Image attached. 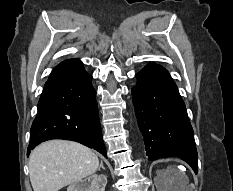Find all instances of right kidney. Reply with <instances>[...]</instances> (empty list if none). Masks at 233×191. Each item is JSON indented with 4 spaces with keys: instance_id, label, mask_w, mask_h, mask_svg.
<instances>
[{
    "instance_id": "right-kidney-1",
    "label": "right kidney",
    "mask_w": 233,
    "mask_h": 191,
    "mask_svg": "<svg viewBox=\"0 0 233 191\" xmlns=\"http://www.w3.org/2000/svg\"><path fill=\"white\" fill-rule=\"evenodd\" d=\"M106 184L107 178L105 176L93 174L79 184L70 185L67 191H105Z\"/></svg>"
}]
</instances>
